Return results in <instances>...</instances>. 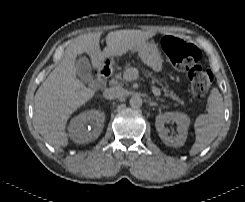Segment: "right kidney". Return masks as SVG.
Listing matches in <instances>:
<instances>
[{"mask_svg": "<svg viewBox=\"0 0 245 202\" xmlns=\"http://www.w3.org/2000/svg\"><path fill=\"white\" fill-rule=\"evenodd\" d=\"M105 114L90 110L74 117L69 124V136L78 143H88L98 138L104 127Z\"/></svg>", "mask_w": 245, "mask_h": 202, "instance_id": "right-kidney-1", "label": "right kidney"}]
</instances>
